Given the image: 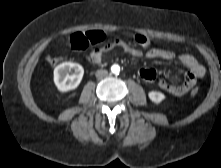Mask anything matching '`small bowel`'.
Returning a JSON list of instances; mask_svg holds the SVG:
<instances>
[{"label":"small bowel","mask_w":221,"mask_h":168,"mask_svg":"<svg viewBox=\"0 0 221 168\" xmlns=\"http://www.w3.org/2000/svg\"><path fill=\"white\" fill-rule=\"evenodd\" d=\"M114 49H120L124 53L132 57L146 56L150 59L174 60L178 59L186 68L187 73L185 80L181 84H175L167 78L160 79L158 85L173 96H182L186 94L196 83V81L205 75V68L198 60L190 54H179L166 49L152 48L145 52L133 47L131 44L123 40H115L111 43L94 49L88 55L90 62L100 64L103 61L104 55ZM139 77L145 82H153L156 79V71L152 68H141L138 71Z\"/></svg>","instance_id":"c3829d8e"}]
</instances>
